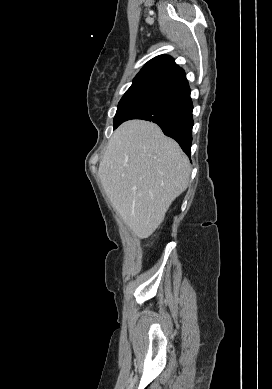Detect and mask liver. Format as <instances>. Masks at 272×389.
<instances>
[{
  "mask_svg": "<svg viewBox=\"0 0 272 389\" xmlns=\"http://www.w3.org/2000/svg\"><path fill=\"white\" fill-rule=\"evenodd\" d=\"M191 167L178 143L143 120L121 124L98 175L114 209L137 237H149L188 186Z\"/></svg>",
  "mask_w": 272,
  "mask_h": 389,
  "instance_id": "1",
  "label": "liver"
}]
</instances>
